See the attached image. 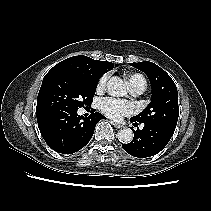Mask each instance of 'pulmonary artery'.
<instances>
[{
  "instance_id": "pulmonary-artery-1",
  "label": "pulmonary artery",
  "mask_w": 211,
  "mask_h": 211,
  "mask_svg": "<svg viewBox=\"0 0 211 211\" xmlns=\"http://www.w3.org/2000/svg\"><path fill=\"white\" fill-rule=\"evenodd\" d=\"M145 87L142 85L131 87V91L133 94H141L144 92Z\"/></svg>"
}]
</instances>
